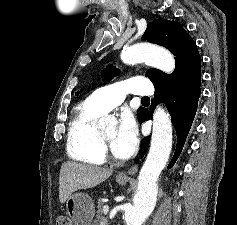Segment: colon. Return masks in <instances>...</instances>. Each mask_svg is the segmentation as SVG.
Masks as SVG:
<instances>
[{
  "mask_svg": "<svg viewBox=\"0 0 237 225\" xmlns=\"http://www.w3.org/2000/svg\"><path fill=\"white\" fill-rule=\"evenodd\" d=\"M56 225H73L71 219L66 215L57 218Z\"/></svg>",
  "mask_w": 237,
  "mask_h": 225,
  "instance_id": "colon-1",
  "label": "colon"
}]
</instances>
